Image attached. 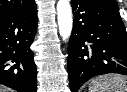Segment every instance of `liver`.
Listing matches in <instances>:
<instances>
[{"instance_id": "obj_1", "label": "liver", "mask_w": 127, "mask_h": 92, "mask_svg": "<svg viewBox=\"0 0 127 92\" xmlns=\"http://www.w3.org/2000/svg\"><path fill=\"white\" fill-rule=\"evenodd\" d=\"M0 92H12L10 89L0 86Z\"/></svg>"}]
</instances>
